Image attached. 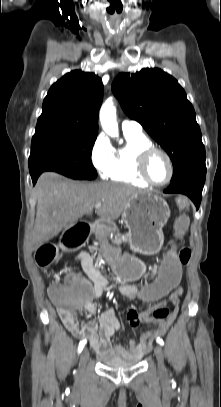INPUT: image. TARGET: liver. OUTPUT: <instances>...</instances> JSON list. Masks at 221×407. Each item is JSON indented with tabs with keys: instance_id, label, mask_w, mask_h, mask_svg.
Segmentation results:
<instances>
[{
	"instance_id": "liver-1",
	"label": "liver",
	"mask_w": 221,
	"mask_h": 407,
	"mask_svg": "<svg viewBox=\"0 0 221 407\" xmlns=\"http://www.w3.org/2000/svg\"><path fill=\"white\" fill-rule=\"evenodd\" d=\"M143 191L125 184L79 183L55 172L43 173L36 185L37 210L31 244L40 247L63 228L92 212L101 202L97 215L112 223L123 213L129 198Z\"/></svg>"
}]
</instances>
